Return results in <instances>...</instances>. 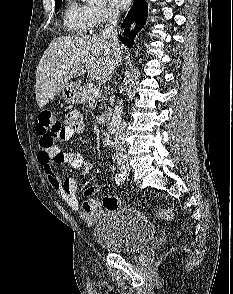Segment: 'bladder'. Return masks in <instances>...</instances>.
I'll list each match as a JSON object with an SVG mask.
<instances>
[{"instance_id": "31cf9c89", "label": "bladder", "mask_w": 233, "mask_h": 294, "mask_svg": "<svg viewBox=\"0 0 233 294\" xmlns=\"http://www.w3.org/2000/svg\"><path fill=\"white\" fill-rule=\"evenodd\" d=\"M155 229L145 215L134 209L112 210L93 227L95 241L116 253H135L154 238Z\"/></svg>"}]
</instances>
